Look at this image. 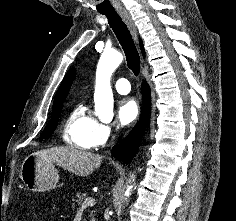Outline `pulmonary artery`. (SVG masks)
I'll list each match as a JSON object with an SVG mask.
<instances>
[{
    "instance_id": "pulmonary-artery-1",
    "label": "pulmonary artery",
    "mask_w": 236,
    "mask_h": 221,
    "mask_svg": "<svg viewBox=\"0 0 236 221\" xmlns=\"http://www.w3.org/2000/svg\"><path fill=\"white\" fill-rule=\"evenodd\" d=\"M114 87L116 91L120 94H127L130 92L131 87L130 83L125 78H119L114 82Z\"/></svg>"
}]
</instances>
